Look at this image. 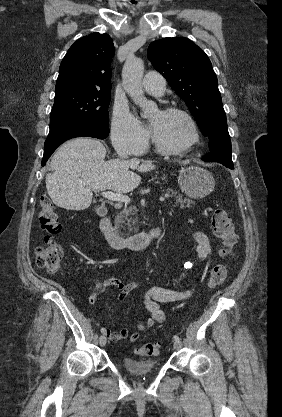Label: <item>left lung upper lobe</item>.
Segmentation results:
<instances>
[{
    "label": "left lung upper lobe",
    "mask_w": 282,
    "mask_h": 417,
    "mask_svg": "<svg viewBox=\"0 0 282 417\" xmlns=\"http://www.w3.org/2000/svg\"><path fill=\"white\" fill-rule=\"evenodd\" d=\"M147 55L185 100L205 137L217 125L227 123L216 74L201 48L184 37L163 38L149 45Z\"/></svg>",
    "instance_id": "5c2ea615"
}]
</instances>
